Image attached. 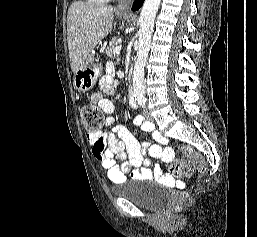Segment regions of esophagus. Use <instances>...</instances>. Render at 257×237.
I'll list each match as a JSON object with an SVG mask.
<instances>
[{
	"mask_svg": "<svg viewBox=\"0 0 257 237\" xmlns=\"http://www.w3.org/2000/svg\"><path fill=\"white\" fill-rule=\"evenodd\" d=\"M132 1L133 0H121L117 6V11L124 12V13L129 12Z\"/></svg>",
	"mask_w": 257,
	"mask_h": 237,
	"instance_id": "34e87169",
	"label": "esophagus"
}]
</instances>
